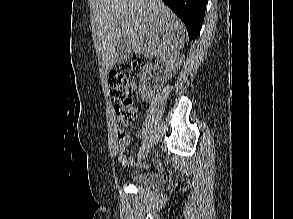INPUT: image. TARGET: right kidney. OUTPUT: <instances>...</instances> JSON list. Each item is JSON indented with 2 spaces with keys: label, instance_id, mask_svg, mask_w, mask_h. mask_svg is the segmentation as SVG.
<instances>
[{
  "label": "right kidney",
  "instance_id": "ca27d5eb",
  "mask_svg": "<svg viewBox=\"0 0 293 219\" xmlns=\"http://www.w3.org/2000/svg\"><path fill=\"white\" fill-rule=\"evenodd\" d=\"M182 55L171 54L168 56L161 57L160 63L165 66V69L162 72V76L160 77L162 83L167 82L172 76L175 75L176 70L180 66L182 60ZM154 70V66L150 63L143 67V73L139 82V93L143 99L149 98L151 94V89L147 85V79H149V74Z\"/></svg>",
  "mask_w": 293,
  "mask_h": 219
}]
</instances>
